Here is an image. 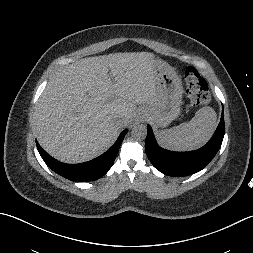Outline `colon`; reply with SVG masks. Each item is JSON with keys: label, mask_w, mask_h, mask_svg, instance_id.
<instances>
[{"label": "colon", "mask_w": 253, "mask_h": 253, "mask_svg": "<svg viewBox=\"0 0 253 253\" xmlns=\"http://www.w3.org/2000/svg\"><path fill=\"white\" fill-rule=\"evenodd\" d=\"M184 80L188 97L193 106H203L209 103L208 84L194 66H189L185 70Z\"/></svg>", "instance_id": "5ec220e1"}]
</instances>
